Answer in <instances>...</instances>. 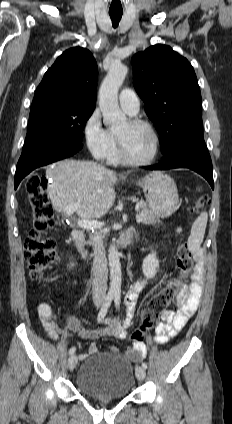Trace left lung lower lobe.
<instances>
[{"label": "left lung lower lobe", "instance_id": "0a47b994", "mask_svg": "<svg viewBox=\"0 0 232 424\" xmlns=\"http://www.w3.org/2000/svg\"><path fill=\"white\" fill-rule=\"evenodd\" d=\"M147 168L151 170L189 168L201 174L214 189L212 162L202 128L180 136L164 153V158L159 164Z\"/></svg>", "mask_w": 232, "mask_h": 424}]
</instances>
